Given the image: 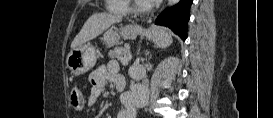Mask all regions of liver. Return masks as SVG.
I'll return each mask as SVG.
<instances>
[{
  "instance_id": "6515ba94",
  "label": "liver",
  "mask_w": 273,
  "mask_h": 118,
  "mask_svg": "<svg viewBox=\"0 0 273 118\" xmlns=\"http://www.w3.org/2000/svg\"><path fill=\"white\" fill-rule=\"evenodd\" d=\"M122 17L109 13H95L83 25L81 31L75 36L71 43V48L74 49L89 40L96 38L104 30L112 24L121 22Z\"/></svg>"
}]
</instances>
